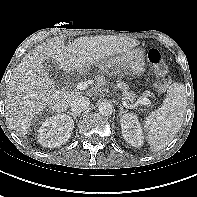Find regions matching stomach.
Instances as JSON below:
<instances>
[{"instance_id":"obj_1","label":"stomach","mask_w":197,"mask_h":197,"mask_svg":"<svg viewBox=\"0 0 197 197\" xmlns=\"http://www.w3.org/2000/svg\"><path fill=\"white\" fill-rule=\"evenodd\" d=\"M97 66L100 71L108 75L126 72L141 76L146 70L144 53L140 49L129 50L115 57L104 59Z\"/></svg>"}]
</instances>
